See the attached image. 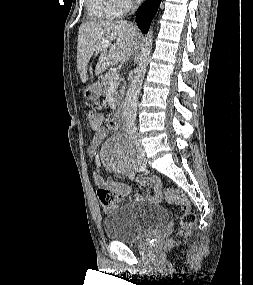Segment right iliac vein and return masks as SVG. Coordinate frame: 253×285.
<instances>
[{
	"instance_id": "1",
	"label": "right iliac vein",
	"mask_w": 253,
	"mask_h": 285,
	"mask_svg": "<svg viewBox=\"0 0 253 285\" xmlns=\"http://www.w3.org/2000/svg\"><path fill=\"white\" fill-rule=\"evenodd\" d=\"M136 157H137V166L144 167L146 164L144 153L141 149H138L136 151Z\"/></svg>"
}]
</instances>
